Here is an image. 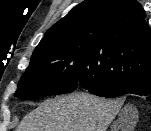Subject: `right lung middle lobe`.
Listing matches in <instances>:
<instances>
[{
  "label": "right lung middle lobe",
  "instance_id": "obj_1",
  "mask_svg": "<svg viewBox=\"0 0 151 131\" xmlns=\"http://www.w3.org/2000/svg\"><path fill=\"white\" fill-rule=\"evenodd\" d=\"M105 83L93 57L73 42L36 48L14 96L33 99L76 90L79 83Z\"/></svg>",
  "mask_w": 151,
  "mask_h": 131
}]
</instances>
